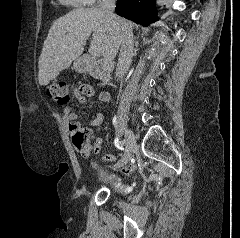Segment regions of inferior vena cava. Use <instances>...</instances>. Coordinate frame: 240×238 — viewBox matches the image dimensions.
Segmentation results:
<instances>
[{"instance_id":"inferior-vena-cava-1","label":"inferior vena cava","mask_w":240,"mask_h":238,"mask_svg":"<svg viewBox=\"0 0 240 238\" xmlns=\"http://www.w3.org/2000/svg\"><path fill=\"white\" fill-rule=\"evenodd\" d=\"M115 6L116 0H102L99 11L103 13L121 31V49L117 62L116 77L123 78L132 61L134 37L132 27L126 25L123 19L114 14Z\"/></svg>"}]
</instances>
